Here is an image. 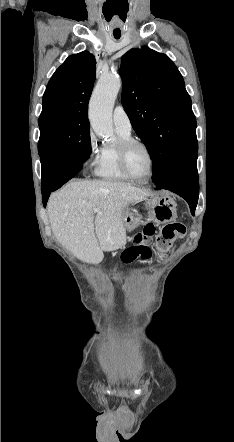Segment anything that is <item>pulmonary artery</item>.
Masks as SVG:
<instances>
[{"instance_id":"pulmonary-artery-1","label":"pulmonary artery","mask_w":234,"mask_h":442,"mask_svg":"<svg viewBox=\"0 0 234 442\" xmlns=\"http://www.w3.org/2000/svg\"><path fill=\"white\" fill-rule=\"evenodd\" d=\"M113 123L116 130L131 133L132 125L122 105H117L113 111Z\"/></svg>"}]
</instances>
